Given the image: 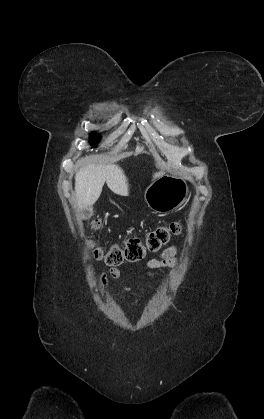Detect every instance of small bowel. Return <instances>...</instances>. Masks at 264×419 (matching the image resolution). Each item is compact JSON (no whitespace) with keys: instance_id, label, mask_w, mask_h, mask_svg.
I'll use <instances>...</instances> for the list:
<instances>
[{"instance_id":"small-bowel-1","label":"small bowel","mask_w":264,"mask_h":419,"mask_svg":"<svg viewBox=\"0 0 264 419\" xmlns=\"http://www.w3.org/2000/svg\"><path fill=\"white\" fill-rule=\"evenodd\" d=\"M176 253L177 249L175 247H170L166 249L159 258H152L148 260L147 265L150 268H161V267H174L176 263ZM110 276L113 279L120 280L121 274L120 271L117 268H112L110 270ZM170 277V276H169ZM168 277V278H169ZM100 284L102 286H106L107 284V274L102 273L100 278ZM124 291H130V287H123Z\"/></svg>"}]
</instances>
